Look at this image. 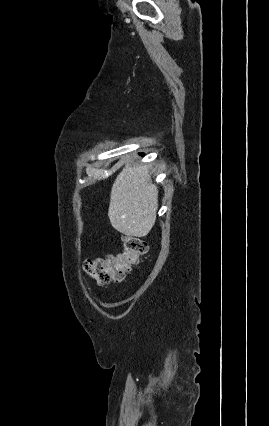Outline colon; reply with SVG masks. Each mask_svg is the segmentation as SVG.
<instances>
[{
	"instance_id": "obj_1",
	"label": "colon",
	"mask_w": 269,
	"mask_h": 426,
	"mask_svg": "<svg viewBox=\"0 0 269 426\" xmlns=\"http://www.w3.org/2000/svg\"><path fill=\"white\" fill-rule=\"evenodd\" d=\"M122 244L123 250L117 255L109 254L87 260L84 264L86 276L98 285L123 281L126 274L147 253L148 245L140 237L130 234L122 236Z\"/></svg>"
}]
</instances>
